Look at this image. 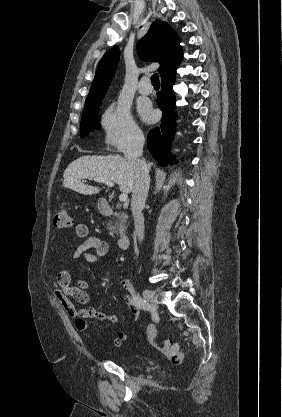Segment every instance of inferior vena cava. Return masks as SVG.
Here are the masks:
<instances>
[{
    "mask_svg": "<svg viewBox=\"0 0 282 417\" xmlns=\"http://www.w3.org/2000/svg\"><path fill=\"white\" fill-rule=\"evenodd\" d=\"M145 138L140 130H132L130 140L123 148L126 160L132 162L134 166V186L132 190L131 211L134 219V235L139 243L144 239V217L142 211L144 209L145 200L149 190V168L145 160H141L143 154Z\"/></svg>",
    "mask_w": 282,
    "mask_h": 417,
    "instance_id": "obj_1",
    "label": "inferior vena cava"
}]
</instances>
